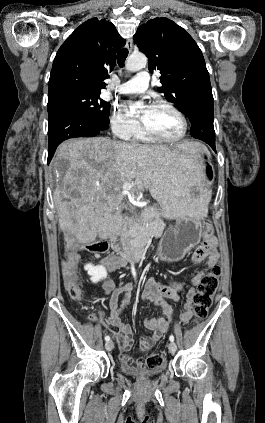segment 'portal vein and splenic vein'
I'll use <instances>...</instances> for the list:
<instances>
[{
	"label": "portal vein and splenic vein",
	"instance_id": "1",
	"mask_svg": "<svg viewBox=\"0 0 265 423\" xmlns=\"http://www.w3.org/2000/svg\"><path fill=\"white\" fill-rule=\"evenodd\" d=\"M133 184L126 183L123 185L122 195H127L130 200H134V196L130 193V190L132 189Z\"/></svg>",
	"mask_w": 265,
	"mask_h": 423
}]
</instances>
